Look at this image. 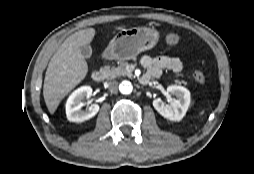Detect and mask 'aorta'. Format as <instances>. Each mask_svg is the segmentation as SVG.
Listing matches in <instances>:
<instances>
[{"instance_id": "762f6f07", "label": "aorta", "mask_w": 254, "mask_h": 174, "mask_svg": "<svg viewBox=\"0 0 254 174\" xmlns=\"http://www.w3.org/2000/svg\"><path fill=\"white\" fill-rule=\"evenodd\" d=\"M119 91L122 94L128 95L131 94L133 91V86L130 82L128 81H123L120 85H119Z\"/></svg>"}]
</instances>
